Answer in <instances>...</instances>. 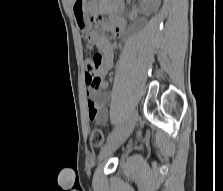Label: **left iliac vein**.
<instances>
[{
	"label": "left iliac vein",
	"mask_w": 223,
	"mask_h": 191,
	"mask_svg": "<svg viewBox=\"0 0 223 191\" xmlns=\"http://www.w3.org/2000/svg\"><path fill=\"white\" fill-rule=\"evenodd\" d=\"M138 120V111L134 109L127 122L124 124V126L119 130L117 135L112 138L110 141L107 142V144L102 148L100 154H99V160L104 161L108 159L112 153L118 149L130 136V134L133 132Z\"/></svg>",
	"instance_id": "1"
}]
</instances>
